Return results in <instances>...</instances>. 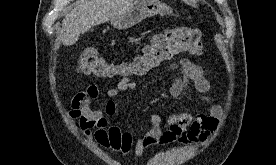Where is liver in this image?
Listing matches in <instances>:
<instances>
[{
    "label": "liver",
    "instance_id": "liver-1",
    "mask_svg": "<svg viewBox=\"0 0 276 165\" xmlns=\"http://www.w3.org/2000/svg\"><path fill=\"white\" fill-rule=\"evenodd\" d=\"M134 0H89L72 9L62 21L61 41L65 46L77 42L80 34L111 21L126 11Z\"/></svg>",
    "mask_w": 276,
    "mask_h": 165
}]
</instances>
